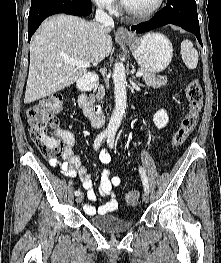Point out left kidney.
Here are the masks:
<instances>
[{
  "label": "left kidney",
  "mask_w": 221,
  "mask_h": 263,
  "mask_svg": "<svg viewBox=\"0 0 221 263\" xmlns=\"http://www.w3.org/2000/svg\"><path fill=\"white\" fill-rule=\"evenodd\" d=\"M153 122L158 129L164 128L169 122L167 111L164 109L157 111L153 116Z\"/></svg>",
  "instance_id": "5707ae66"
}]
</instances>
